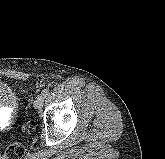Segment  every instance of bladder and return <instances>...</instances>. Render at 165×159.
Listing matches in <instances>:
<instances>
[{
    "label": "bladder",
    "mask_w": 165,
    "mask_h": 159,
    "mask_svg": "<svg viewBox=\"0 0 165 159\" xmlns=\"http://www.w3.org/2000/svg\"><path fill=\"white\" fill-rule=\"evenodd\" d=\"M16 102L14 90L5 82L0 81V106L12 105Z\"/></svg>",
    "instance_id": "obj_1"
}]
</instances>
